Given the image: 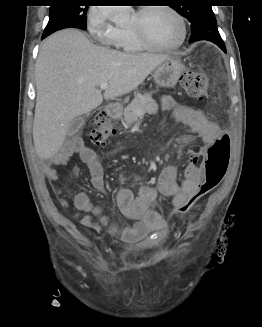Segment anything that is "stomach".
Masks as SVG:
<instances>
[{
  "label": "stomach",
  "mask_w": 262,
  "mask_h": 327,
  "mask_svg": "<svg viewBox=\"0 0 262 327\" xmlns=\"http://www.w3.org/2000/svg\"><path fill=\"white\" fill-rule=\"evenodd\" d=\"M185 66L178 58H170L160 65L154 71V80L160 87L172 88L181 77Z\"/></svg>",
  "instance_id": "1"
}]
</instances>
